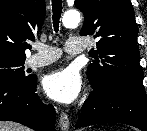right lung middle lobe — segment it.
Instances as JSON below:
<instances>
[{
    "mask_svg": "<svg viewBox=\"0 0 147 131\" xmlns=\"http://www.w3.org/2000/svg\"><path fill=\"white\" fill-rule=\"evenodd\" d=\"M24 59L10 57H0V82H22L31 79V76H25Z\"/></svg>",
    "mask_w": 147,
    "mask_h": 131,
    "instance_id": "obj_1",
    "label": "right lung middle lobe"
}]
</instances>
